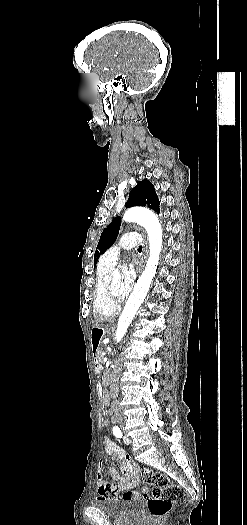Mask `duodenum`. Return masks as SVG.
I'll use <instances>...</instances> for the list:
<instances>
[{
	"mask_svg": "<svg viewBox=\"0 0 247 525\" xmlns=\"http://www.w3.org/2000/svg\"><path fill=\"white\" fill-rule=\"evenodd\" d=\"M94 369L96 373H100L102 371V364L98 360L94 362ZM98 394L103 400L106 399V396L104 394L102 387L98 388Z\"/></svg>",
	"mask_w": 247,
	"mask_h": 525,
	"instance_id": "obj_1",
	"label": "duodenum"
}]
</instances>
